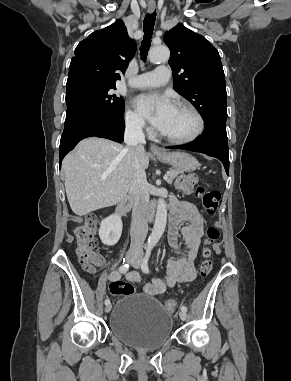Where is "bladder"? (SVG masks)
I'll return each mask as SVG.
<instances>
[{"label": "bladder", "instance_id": "1", "mask_svg": "<svg viewBox=\"0 0 291 381\" xmlns=\"http://www.w3.org/2000/svg\"><path fill=\"white\" fill-rule=\"evenodd\" d=\"M172 326V316L159 300L145 293L125 295L109 316L110 333L138 350L163 346L171 338Z\"/></svg>", "mask_w": 291, "mask_h": 381}]
</instances>
